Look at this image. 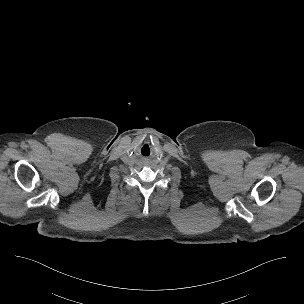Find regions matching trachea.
I'll use <instances>...</instances> for the list:
<instances>
[{
    "label": "trachea",
    "mask_w": 304,
    "mask_h": 304,
    "mask_svg": "<svg viewBox=\"0 0 304 304\" xmlns=\"http://www.w3.org/2000/svg\"><path fill=\"white\" fill-rule=\"evenodd\" d=\"M152 147L150 146V145H143V146H141V148H140V153H141V155H143V156H150L151 154H152Z\"/></svg>",
    "instance_id": "1"
}]
</instances>
